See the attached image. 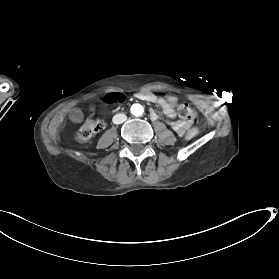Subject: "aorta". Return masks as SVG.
I'll return each instance as SVG.
<instances>
[{"label": "aorta", "mask_w": 279, "mask_h": 279, "mask_svg": "<svg viewBox=\"0 0 279 279\" xmlns=\"http://www.w3.org/2000/svg\"><path fill=\"white\" fill-rule=\"evenodd\" d=\"M144 112L142 105L140 104H133L131 106V113L135 116H140Z\"/></svg>", "instance_id": "aorta-1"}]
</instances>
